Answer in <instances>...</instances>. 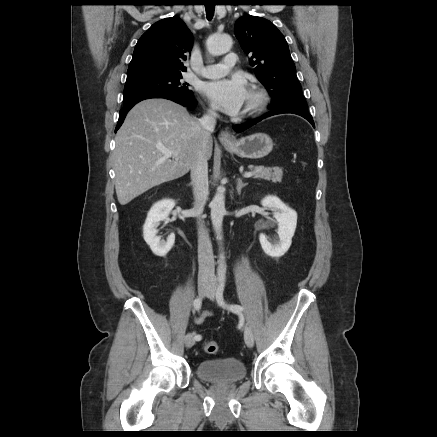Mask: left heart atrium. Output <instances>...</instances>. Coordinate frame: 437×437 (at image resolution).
I'll use <instances>...</instances> for the list:
<instances>
[{"label": "left heart atrium", "instance_id": "39dd6f15", "mask_svg": "<svg viewBox=\"0 0 437 437\" xmlns=\"http://www.w3.org/2000/svg\"><path fill=\"white\" fill-rule=\"evenodd\" d=\"M202 90L219 109L229 115H238L242 112L249 93L247 84L242 78L207 82Z\"/></svg>", "mask_w": 437, "mask_h": 437}]
</instances>
